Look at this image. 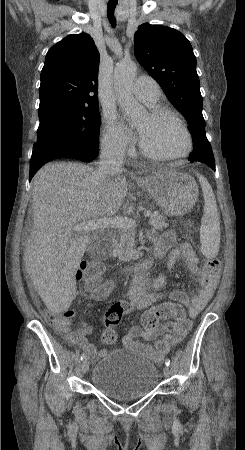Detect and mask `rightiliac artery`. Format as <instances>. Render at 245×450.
<instances>
[{"instance_id": "obj_1", "label": "right iliac artery", "mask_w": 245, "mask_h": 450, "mask_svg": "<svg viewBox=\"0 0 245 450\" xmlns=\"http://www.w3.org/2000/svg\"><path fill=\"white\" fill-rule=\"evenodd\" d=\"M81 361H83V360H85L86 359V354L85 353H82V355H81Z\"/></svg>"}]
</instances>
